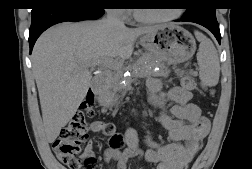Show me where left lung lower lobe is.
<instances>
[{
  "label": "left lung lower lobe",
  "mask_w": 252,
  "mask_h": 169,
  "mask_svg": "<svg viewBox=\"0 0 252 169\" xmlns=\"http://www.w3.org/2000/svg\"><path fill=\"white\" fill-rule=\"evenodd\" d=\"M177 21L194 22L200 24L206 27L208 30H210L214 34L219 43L221 41L220 29L216 17H198L192 19L182 18L181 20Z\"/></svg>",
  "instance_id": "0a47b994"
}]
</instances>
